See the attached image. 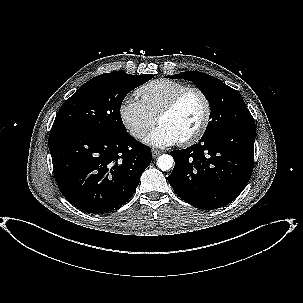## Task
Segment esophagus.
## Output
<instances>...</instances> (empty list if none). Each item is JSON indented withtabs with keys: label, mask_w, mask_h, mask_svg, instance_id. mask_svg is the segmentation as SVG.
Masks as SVG:
<instances>
[{
	"label": "esophagus",
	"mask_w": 303,
	"mask_h": 303,
	"mask_svg": "<svg viewBox=\"0 0 303 303\" xmlns=\"http://www.w3.org/2000/svg\"><path fill=\"white\" fill-rule=\"evenodd\" d=\"M161 154V151H159V150H152V157L153 158H156V157H158L159 155Z\"/></svg>",
	"instance_id": "1"
}]
</instances>
